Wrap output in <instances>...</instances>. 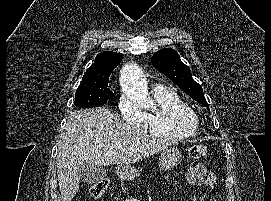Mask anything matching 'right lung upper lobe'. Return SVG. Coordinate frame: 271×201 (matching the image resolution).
I'll list each match as a JSON object with an SVG mask.
<instances>
[{"mask_svg":"<svg viewBox=\"0 0 271 201\" xmlns=\"http://www.w3.org/2000/svg\"><path fill=\"white\" fill-rule=\"evenodd\" d=\"M122 56L123 55L120 53L110 51L99 53L95 58V62L86 70L83 78L111 74V72L120 63Z\"/></svg>","mask_w":271,"mask_h":201,"instance_id":"obj_1","label":"right lung upper lobe"}]
</instances>
